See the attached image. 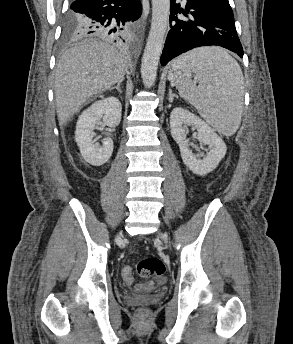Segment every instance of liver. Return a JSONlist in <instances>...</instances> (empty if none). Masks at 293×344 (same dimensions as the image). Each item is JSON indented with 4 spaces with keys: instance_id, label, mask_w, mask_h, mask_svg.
<instances>
[{
    "instance_id": "liver-1",
    "label": "liver",
    "mask_w": 293,
    "mask_h": 344,
    "mask_svg": "<svg viewBox=\"0 0 293 344\" xmlns=\"http://www.w3.org/2000/svg\"><path fill=\"white\" fill-rule=\"evenodd\" d=\"M128 64L114 47L95 40L68 49L55 74V99L60 126L71 121L82 106L123 81Z\"/></svg>"
}]
</instances>
